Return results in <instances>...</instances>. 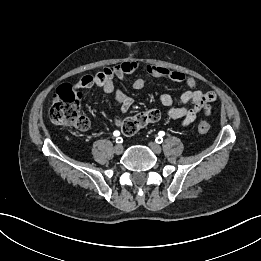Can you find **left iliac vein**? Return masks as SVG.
Wrapping results in <instances>:
<instances>
[{"instance_id": "4c4485c4", "label": "left iliac vein", "mask_w": 261, "mask_h": 261, "mask_svg": "<svg viewBox=\"0 0 261 261\" xmlns=\"http://www.w3.org/2000/svg\"><path fill=\"white\" fill-rule=\"evenodd\" d=\"M148 145H149V147L151 148V150H152L154 153H156V154L161 153L162 148H161V146H160L159 144L154 143V142H150Z\"/></svg>"}]
</instances>
